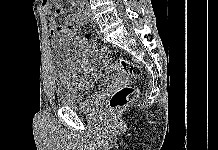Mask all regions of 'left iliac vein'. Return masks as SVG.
Segmentation results:
<instances>
[{"label":"left iliac vein","mask_w":218,"mask_h":150,"mask_svg":"<svg viewBox=\"0 0 218 150\" xmlns=\"http://www.w3.org/2000/svg\"><path fill=\"white\" fill-rule=\"evenodd\" d=\"M84 14H85L84 18H85L86 21H88L90 23H93V24L96 23L93 16H92V14H91V11L88 8L85 9Z\"/></svg>","instance_id":"left-iliac-vein-1"}]
</instances>
